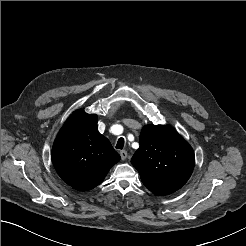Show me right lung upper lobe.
Wrapping results in <instances>:
<instances>
[{"instance_id":"obj_1","label":"right lung upper lobe","mask_w":246,"mask_h":246,"mask_svg":"<svg viewBox=\"0 0 246 246\" xmlns=\"http://www.w3.org/2000/svg\"><path fill=\"white\" fill-rule=\"evenodd\" d=\"M97 121L95 114L77 110L67 119L52 147L57 173L79 191L99 185L120 160L109 140L99 133Z\"/></svg>"}]
</instances>
